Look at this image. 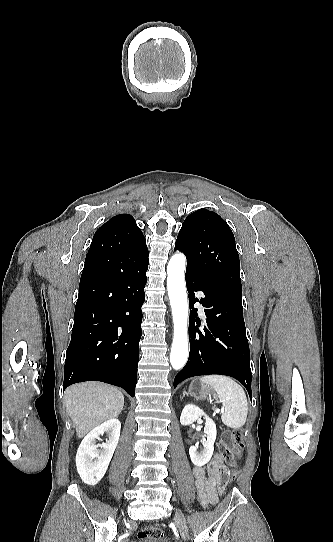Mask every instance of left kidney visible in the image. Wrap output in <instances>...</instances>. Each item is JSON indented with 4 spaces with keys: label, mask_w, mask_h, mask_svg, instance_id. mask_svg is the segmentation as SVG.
<instances>
[{
    "label": "left kidney",
    "mask_w": 333,
    "mask_h": 542,
    "mask_svg": "<svg viewBox=\"0 0 333 542\" xmlns=\"http://www.w3.org/2000/svg\"><path fill=\"white\" fill-rule=\"evenodd\" d=\"M200 416H204L206 420L204 434H207V442H203L204 450L201 454L197 452L198 446H191L189 450L190 458L194 466H198V468L208 464L213 456L214 444L217 436L216 424L209 416H207V414H205V412H203V410H200L198 406H193V404L184 406L180 416V424H182V426H190V424L199 420Z\"/></svg>",
    "instance_id": "5707ae66"
}]
</instances>
